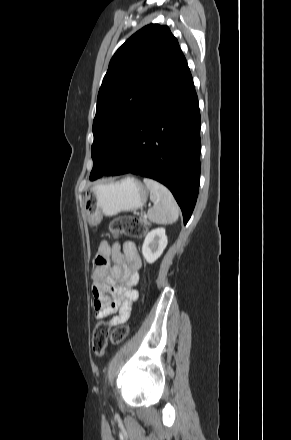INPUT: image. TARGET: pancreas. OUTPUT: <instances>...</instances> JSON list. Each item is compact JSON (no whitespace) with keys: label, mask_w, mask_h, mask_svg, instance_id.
I'll list each match as a JSON object with an SVG mask.
<instances>
[{"label":"pancreas","mask_w":291,"mask_h":440,"mask_svg":"<svg viewBox=\"0 0 291 440\" xmlns=\"http://www.w3.org/2000/svg\"><path fill=\"white\" fill-rule=\"evenodd\" d=\"M144 226H149L150 222H148L145 218L139 220Z\"/></svg>","instance_id":"obj_1"}]
</instances>
